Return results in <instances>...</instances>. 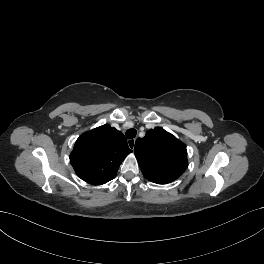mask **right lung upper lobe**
Wrapping results in <instances>:
<instances>
[{"instance_id":"obj_1","label":"right lung upper lobe","mask_w":264,"mask_h":264,"mask_svg":"<svg viewBox=\"0 0 264 264\" xmlns=\"http://www.w3.org/2000/svg\"><path fill=\"white\" fill-rule=\"evenodd\" d=\"M131 152L125 136L105 124L77 139L70 162L81 179L101 185L115 178L120 164Z\"/></svg>"}]
</instances>
